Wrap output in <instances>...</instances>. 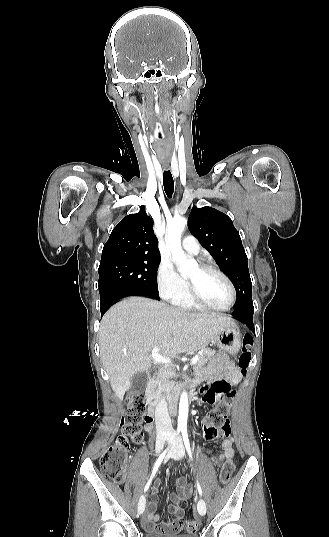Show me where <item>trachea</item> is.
I'll return each instance as SVG.
<instances>
[{
    "instance_id": "1",
    "label": "trachea",
    "mask_w": 329,
    "mask_h": 537,
    "mask_svg": "<svg viewBox=\"0 0 329 537\" xmlns=\"http://www.w3.org/2000/svg\"><path fill=\"white\" fill-rule=\"evenodd\" d=\"M163 185L167 196L171 198L174 191V180L170 170H165L163 173Z\"/></svg>"
}]
</instances>
